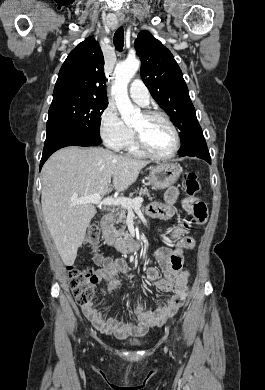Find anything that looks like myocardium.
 Instances as JSON below:
<instances>
[{
    "instance_id": "1",
    "label": "myocardium",
    "mask_w": 265,
    "mask_h": 390,
    "mask_svg": "<svg viewBox=\"0 0 265 390\" xmlns=\"http://www.w3.org/2000/svg\"><path fill=\"white\" fill-rule=\"evenodd\" d=\"M142 114L145 118H148V119L159 118L162 121H164L169 126V128L171 129V131L173 133L174 145H173L171 151L167 154L160 155V154L154 153L147 146L142 135L137 130L133 129L134 138H135V141H136V144H137L139 150L144 155H146L150 158L156 159V160L164 161V160H169V159L173 158L177 154V152L179 151V148H180V134H179V131H178L177 127L175 126V124L171 121V119L167 115H165L164 113H162L160 111L146 110Z\"/></svg>"
}]
</instances>
